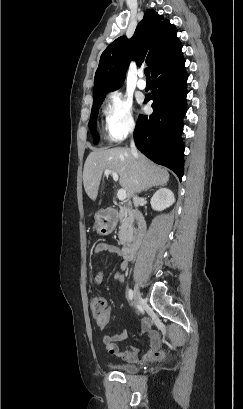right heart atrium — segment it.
<instances>
[{
    "label": "right heart atrium",
    "mask_w": 243,
    "mask_h": 409,
    "mask_svg": "<svg viewBox=\"0 0 243 409\" xmlns=\"http://www.w3.org/2000/svg\"><path fill=\"white\" fill-rule=\"evenodd\" d=\"M104 115L106 134L113 141L125 138L135 129L132 101L119 91L108 95Z\"/></svg>",
    "instance_id": "d8ad5b80"
}]
</instances>
